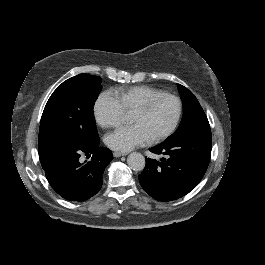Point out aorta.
<instances>
[{
	"label": "aorta",
	"mask_w": 265,
	"mask_h": 265,
	"mask_svg": "<svg viewBox=\"0 0 265 265\" xmlns=\"http://www.w3.org/2000/svg\"><path fill=\"white\" fill-rule=\"evenodd\" d=\"M127 164L135 171H140L145 166V158L140 152H131L127 157Z\"/></svg>",
	"instance_id": "aorta-1"
}]
</instances>
